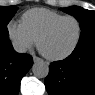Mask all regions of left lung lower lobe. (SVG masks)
Wrapping results in <instances>:
<instances>
[{
	"label": "left lung lower lobe",
	"instance_id": "0a47b994",
	"mask_svg": "<svg viewBox=\"0 0 95 95\" xmlns=\"http://www.w3.org/2000/svg\"><path fill=\"white\" fill-rule=\"evenodd\" d=\"M45 86L49 95H95V38L78 44L66 59L51 63Z\"/></svg>",
	"mask_w": 95,
	"mask_h": 95
}]
</instances>
